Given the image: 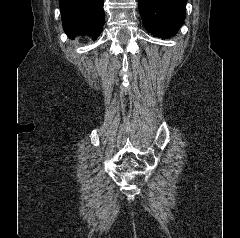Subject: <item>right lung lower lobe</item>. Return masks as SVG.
<instances>
[{
  "label": "right lung lower lobe",
  "mask_w": 240,
  "mask_h": 238,
  "mask_svg": "<svg viewBox=\"0 0 240 238\" xmlns=\"http://www.w3.org/2000/svg\"><path fill=\"white\" fill-rule=\"evenodd\" d=\"M104 0H59L65 33L74 38L87 34L96 39L104 25Z\"/></svg>",
  "instance_id": "right-lung-lower-lobe-1"
}]
</instances>
